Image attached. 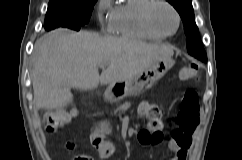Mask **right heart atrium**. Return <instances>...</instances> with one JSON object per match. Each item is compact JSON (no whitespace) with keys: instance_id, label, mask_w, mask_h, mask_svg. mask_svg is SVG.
<instances>
[{"instance_id":"obj_1","label":"right heart atrium","mask_w":242,"mask_h":160,"mask_svg":"<svg viewBox=\"0 0 242 160\" xmlns=\"http://www.w3.org/2000/svg\"><path fill=\"white\" fill-rule=\"evenodd\" d=\"M114 7L112 0H98L97 2V19L101 25L111 28Z\"/></svg>"}]
</instances>
